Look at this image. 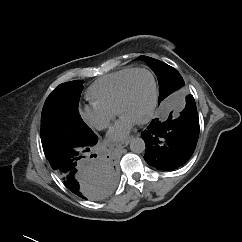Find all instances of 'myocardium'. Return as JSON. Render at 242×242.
Here are the masks:
<instances>
[{
    "label": "myocardium",
    "mask_w": 242,
    "mask_h": 242,
    "mask_svg": "<svg viewBox=\"0 0 242 242\" xmlns=\"http://www.w3.org/2000/svg\"><path fill=\"white\" fill-rule=\"evenodd\" d=\"M141 72L147 73L150 76L152 85H153V94H152L151 105H150L147 115L137 122V124H140V125L148 123L153 118L156 107H157V103H158V96H159L158 83H157L155 74L150 69L136 68L131 73H129L127 75V77L124 79V81L122 82V85H121L119 93H118L117 103H116V112L118 115H121L120 109H121V106H122V104L125 100L126 94H127L129 81L135 74L141 73Z\"/></svg>",
    "instance_id": "obj_1"
}]
</instances>
